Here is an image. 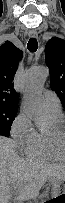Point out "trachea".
Returning <instances> with one entry per match:
<instances>
[{"mask_svg": "<svg viewBox=\"0 0 65 203\" xmlns=\"http://www.w3.org/2000/svg\"><path fill=\"white\" fill-rule=\"evenodd\" d=\"M37 41L35 38H31L29 41H28V44H27V48L30 52H35L37 50Z\"/></svg>", "mask_w": 65, "mask_h": 203, "instance_id": "1", "label": "trachea"}]
</instances>
